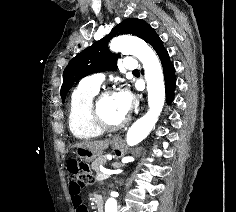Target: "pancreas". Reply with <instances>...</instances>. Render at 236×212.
<instances>
[{"label":"pancreas","mask_w":236,"mask_h":212,"mask_svg":"<svg viewBox=\"0 0 236 212\" xmlns=\"http://www.w3.org/2000/svg\"><path fill=\"white\" fill-rule=\"evenodd\" d=\"M101 163H106V159L98 158L95 161H93V163L91 165L92 169L96 172V180L97 181L101 180L100 177H99L101 175V171L99 169V166H100ZM113 166L114 167H119L120 165H119V163H114Z\"/></svg>","instance_id":"pancreas-1"}]
</instances>
